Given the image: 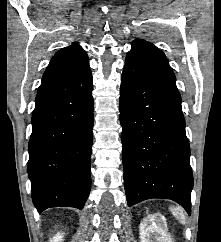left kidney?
Here are the masks:
<instances>
[{
	"instance_id": "left-kidney-1",
	"label": "left kidney",
	"mask_w": 221,
	"mask_h": 242,
	"mask_svg": "<svg viewBox=\"0 0 221 242\" xmlns=\"http://www.w3.org/2000/svg\"><path fill=\"white\" fill-rule=\"evenodd\" d=\"M139 228L141 242H172L167 232L166 219L160 213L148 215Z\"/></svg>"
}]
</instances>
